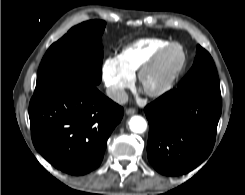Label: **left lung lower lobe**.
I'll list each match as a JSON object with an SVG mask.
<instances>
[{"instance_id":"1","label":"left lung lower lobe","mask_w":245,"mask_h":195,"mask_svg":"<svg viewBox=\"0 0 245 195\" xmlns=\"http://www.w3.org/2000/svg\"><path fill=\"white\" fill-rule=\"evenodd\" d=\"M221 96L171 90L145 107L148 160L161 174L190 172L211 153L221 115Z\"/></svg>"}]
</instances>
